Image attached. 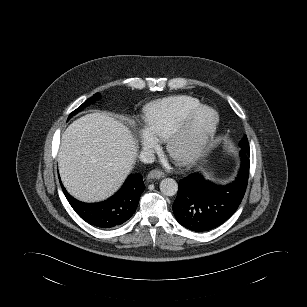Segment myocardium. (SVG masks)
Here are the masks:
<instances>
[{"mask_svg": "<svg viewBox=\"0 0 307 307\" xmlns=\"http://www.w3.org/2000/svg\"><path fill=\"white\" fill-rule=\"evenodd\" d=\"M203 111H208L212 114V121L210 125L197 138L187 143L185 150L181 155H176L174 153L175 147L186 139L193 119ZM218 124L219 115L215 109L206 105H199L195 107L185 115L179 125L165 140L166 152L179 164H189L194 162L202 155L208 146L210 140L217 131Z\"/></svg>", "mask_w": 307, "mask_h": 307, "instance_id": "f54148a6", "label": "myocardium"}]
</instances>
